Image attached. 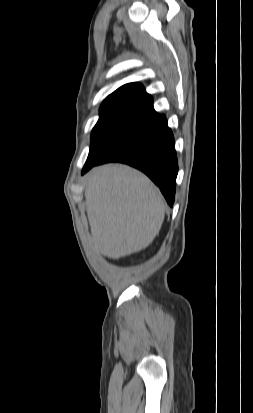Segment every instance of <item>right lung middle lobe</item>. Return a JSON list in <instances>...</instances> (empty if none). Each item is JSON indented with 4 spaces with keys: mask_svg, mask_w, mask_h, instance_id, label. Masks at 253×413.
Listing matches in <instances>:
<instances>
[{
    "mask_svg": "<svg viewBox=\"0 0 253 413\" xmlns=\"http://www.w3.org/2000/svg\"><path fill=\"white\" fill-rule=\"evenodd\" d=\"M163 120L131 111L100 113L92 130L90 152L83 170L93 167L119 148L144 136Z\"/></svg>",
    "mask_w": 253,
    "mask_h": 413,
    "instance_id": "obj_1",
    "label": "right lung middle lobe"
}]
</instances>
